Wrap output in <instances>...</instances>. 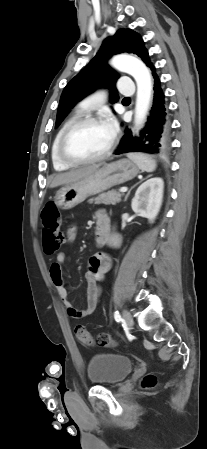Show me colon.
Masks as SVG:
<instances>
[{
    "instance_id": "1",
    "label": "colon",
    "mask_w": 207,
    "mask_h": 449,
    "mask_svg": "<svg viewBox=\"0 0 207 449\" xmlns=\"http://www.w3.org/2000/svg\"><path fill=\"white\" fill-rule=\"evenodd\" d=\"M41 220L43 225L42 231V245L46 254L52 255L57 252L64 244L65 238L60 230L61 216L53 203L45 205L41 212ZM75 335L77 339L88 346H93L95 340L92 335L81 325L75 327ZM98 342L102 345H113V341L107 334H100L98 336ZM144 388H152L156 384V377L153 374H148L143 379Z\"/></svg>"
}]
</instances>
